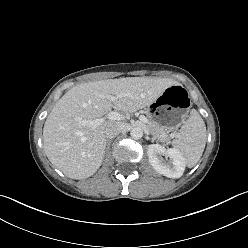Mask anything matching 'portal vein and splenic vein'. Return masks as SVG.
<instances>
[{"instance_id":"portal-vein-and-splenic-vein-1","label":"portal vein and splenic vein","mask_w":248,"mask_h":248,"mask_svg":"<svg viewBox=\"0 0 248 248\" xmlns=\"http://www.w3.org/2000/svg\"><path fill=\"white\" fill-rule=\"evenodd\" d=\"M124 95V94H122ZM118 97L116 96H109V99L111 101H115ZM124 117L123 115H121L120 113L118 112H115V111H110L109 113H107V115L105 117H102V118H97V119H94V120H80V124L81 125H88V126H91L92 128H95L96 126L102 124L103 122H105L107 119L109 120H112V121H119V120H122ZM140 120L143 122V123H148V119L145 117V116H140Z\"/></svg>"}]
</instances>
